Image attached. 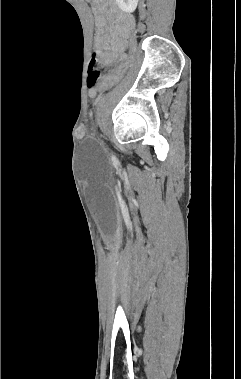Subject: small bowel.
Listing matches in <instances>:
<instances>
[{
    "mask_svg": "<svg viewBox=\"0 0 241 379\" xmlns=\"http://www.w3.org/2000/svg\"><path fill=\"white\" fill-rule=\"evenodd\" d=\"M95 13L97 21V32L95 35L94 45L99 53L101 61L109 64L115 57V51L118 49V38L123 34L127 27L133 25L132 18L119 11L113 0H94ZM107 19L111 25H107ZM96 88L89 89V96L95 97Z\"/></svg>",
    "mask_w": 241,
    "mask_h": 379,
    "instance_id": "obj_1",
    "label": "small bowel"
}]
</instances>
